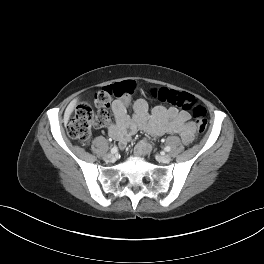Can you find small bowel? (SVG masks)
Wrapping results in <instances>:
<instances>
[{
	"label": "small bowel",
	"instance_id": "1",
	"mask_svg": "<svg viewBox=\"0 0 264 264\" xmlns=\"http://www.w3.org/2000/svg\"><path fill=\"white\" fill-rule=\"evenodd\" d=\"M128 100L118 99L112 104L115 123L108 127L109 134L120 146H125L137 130L146 131L152 135L164 133L178 134L183 143L188 145L195 138V125L189 113L175 108L157 106L148 113V104L144 99H137L133 105V113L127 112ZM150 151L146 140L139 141L135 146L137 155H145Z\"/></svg>",
	"mask_w": 264,
	"mask_h": 264
}]
</instances>
